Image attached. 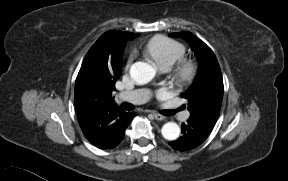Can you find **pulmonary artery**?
<instances>
[{
	"label": "pulmonary artery",
	"instance_id": "e3ab8cb5",
	"mask_svg": "<svg viewBox=\"0 0 288 181\" xmlns=\"http://www.w3.org/2000/svg\"><path fill=\"white\" fill-rule=\"evenodd\" d=\"M162 71H168L170 68L165 66L160 68ZM150 93L146 89L126 90L119 93V99L133 104H140L147 101ZM189 113H184L182 118L188 119Z\"/></svg>",
	"mask_w": 288,
	"mask_h": 181
}]
</instances>
